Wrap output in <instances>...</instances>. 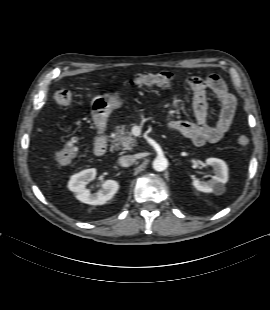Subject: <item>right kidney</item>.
Segmentation results:
<instances>
[{
  "mask_svg": "<svg viewBox=\"0 0 270 310\" xmlns=\"http://www.w3.org/2000/svg\"><path fill=\"white\" fill-rule=\"evenodd\" d=\"M96 176V169H86L74 174L69 182L68 188L76 194V198L90 205H103L110 200L118 191L119 184L114 180H106L97 193H91L86 185Z\"/></svg>",
  "mask_w": 270,
  "mask_h": 310,
  "instance_id": "right-kidney-1",
  "label": "right kidney"
}]
</instances>
